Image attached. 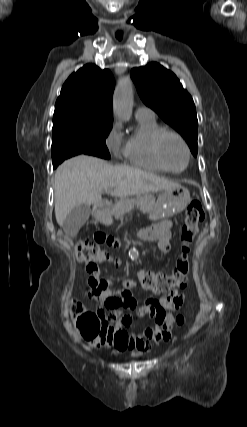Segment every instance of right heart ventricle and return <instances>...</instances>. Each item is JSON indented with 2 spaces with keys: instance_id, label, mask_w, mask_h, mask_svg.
<instances>
[{
  "instance_id": "e07e8e85",
  "label": "right heart ventricle",
  "mask_w": 247,
  "mask_h": 427,
  "mask_svg": "<svg viewBox=\"0 0 247 427\" xmlns=\"http://www.w3.org/2000/svg\"><path fill=\"white\" fill-rule=\"evenodd\" d=\"M163 129L154 116L137 117L136 127L126 139L123 147L125 160L151 171L166 172L157 161L153 151L154 139Z\"/></svg>"
}]
</instances>
